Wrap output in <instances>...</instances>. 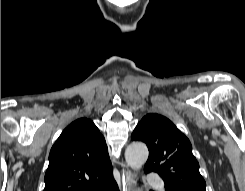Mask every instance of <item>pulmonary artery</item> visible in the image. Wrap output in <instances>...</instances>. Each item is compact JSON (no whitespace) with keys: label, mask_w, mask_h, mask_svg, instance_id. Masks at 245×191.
<instances>
[{"label":"pulmonary artery","mask_w":245,"mask_h":191,"mask_svg":"<svg viewBox=\"0 0 245 191\" xmlns=\"http://www.w3.org/2000/svg\"><path fill=\"white\" fill-rule=\"evenodd\" d=\"M147 183L162 191L165 187L163 180L154 173L147 174Z\"/></svg>","instance_id":"e3ab8cb5"}]
</instances>
